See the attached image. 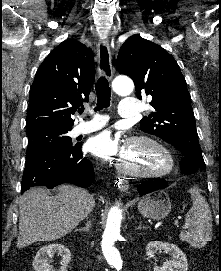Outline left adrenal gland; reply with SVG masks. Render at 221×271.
<instances>
[{"label":"left adrenal gland","instance_id":"obj_1","mask_svg":"<svg viewBox=\"0 0 221 271\" xmlns=\"http://www.w3.org/2000/svg\"><path fill=\"white\" fill-rule=\"evenodd\" d=\"M143 227H144V225H143ZM136 229H142V223H141V221H139V225H138V227H136Z\"/></svg>","mask_w":221,"mask_h":271}]
</instances>
